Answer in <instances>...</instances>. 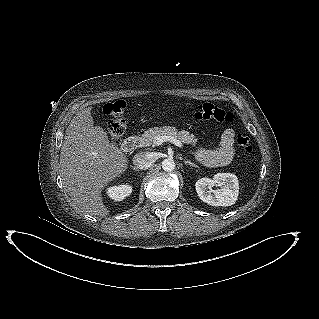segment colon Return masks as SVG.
<instances>
[{"mask_svg": "<svg viewBox=\"0 0 319 319\" xmlns=\"http://www.w3.org/2000/svg\"><path fill=\"white\" fill-rule=\"evenodd\" d=\"M126 110V102L123 100L107 103L103 107V113L110 117L108 122V133L113 141H118L126 130V119L124 112ZM189 115L197 120H211L221 123H232L234 114L226 111L211 103L198 105ZM236 143L246 153L253 151V146L249 137L244 134L236 136Z\"/></svg>", "mask_w": 319, "mask_h": 319, "instance_id": "obj_1", "label": "colon"}]
</instances>
